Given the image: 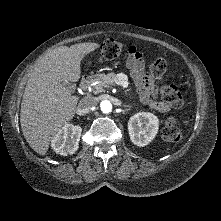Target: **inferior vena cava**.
I'll use <instances>...</instances> for the list:
<instances>
[{
	"label": "inferior vena cava",
	"instance_id": "602c4592",
	"mask_svg": "<svg viewBox=\"0 0 221 221\" xmlns=\"http://www.w3.org/2000/svg\"><path fill=\"white\" fill-rule=\"evenodd\" d=\"M97 101L94 97H85L81 99L79 102L78 108L79 110L83 113L86 114L88 113L94 106H96Z\"/></svg>",
	"mask_w": 221,
	"mask_h": 221
}]
</instances>
